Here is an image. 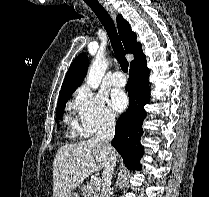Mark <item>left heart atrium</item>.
<instances>
[{
  "label": "left heart atrium",
  "instance_id": "left-heart-atrium-1",
  "mask_svg": "<svg viewBox=\"0 0 209 197\" xmlns=\"http://www.w3.org/2000/svg\"><path fill=\"white\" fill-rule=\"evenodd\" d=\"M111 105L116 111L121 112L125 110L128 105V97L125 93L116 91L112 94Z\"/></svg>",
  "mask_w": 209,
  "mask_h": 197
}]
</instances>
